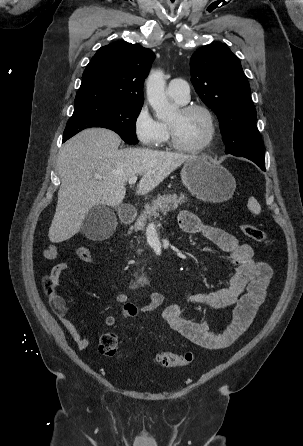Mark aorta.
<instances>
[{"label": "aorta", "instance_id": "762f6f07", "mask_svg": "<svg viewBox=\"0 0 303 446\" xmlns=\"http://www.w3.org/2000/svg\"><path fill=\"white\" fill-rule=\"evenodd\" d=\"M165 84L164 72L161 70L152 72L146 82L147 100L159 120H166L175 113V108L165 94Z\"/></svg>", "mask_w": 303, "mask_h": 446}]
</instances>
